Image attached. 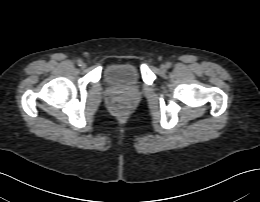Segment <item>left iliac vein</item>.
Returning <instances> with one entry per match:
<instances>
[{
	"instance_id": "4c4485c4",
	"label": "left iliac vein",
	"mask_w": 260,
	"mask_h": 202,
	"mask_svg": "<svg viewBox=\"0 0 260 202\" xmlns=\"http://www.w3.org/2000/svg\"><path fill=\"white\" fill-rule=\"evenodd\" d=\"M166 68H167V67H166V65H164V64H162V65L160 66V70H161V71H165Z\"/></svg>"
}]
</instances>
